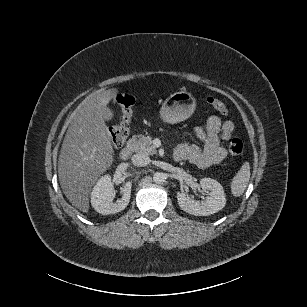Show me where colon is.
<instances>
[{"label": "colon", "mask_w": 307, "mask_h": 307, "mask_svg": "<svg viewBox=\"0 0 307 307\" xmlns=\"http://www.w3.org/2000/svg\"><path fill=\"white\" fill-rule=\"evenodd\" d=\"M122 106V120L110 128V137L114 146L120 147L127 139L130 132V121L133 113L135 99L129 93H120L117 96ZM207 103L222 115L228 114L227 106L215 97H208ZM229 151L233 156H239L244 151V144L239 138H234L229 144Z\"/></svg>", "instance_id": "obj_1"}]
</instances>
